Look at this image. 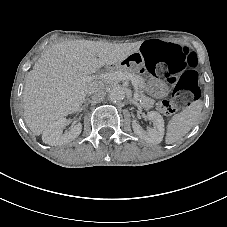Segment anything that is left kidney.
<instances>
[{
  "mask_svg": "<svg viewBox=\"0 0 227 227\" xmlns=\"http://www.w3.org/2000/svg\"><path fill=\"white\" fill-rule=\"evenodd\" d=\"M148 119L153 123V127H148L145 131L135 120L132 122L134 133L146 143L159 144L164 136V120L156 111L147 114Z\"/></svg>",
  "mask_w": 227,
  "mask_h": 227,
  "instance_id": "left-kidney-1",
  "label": "left kidney"
}]
</instances>
